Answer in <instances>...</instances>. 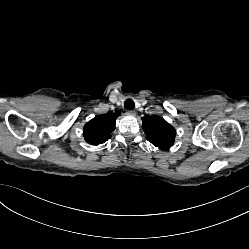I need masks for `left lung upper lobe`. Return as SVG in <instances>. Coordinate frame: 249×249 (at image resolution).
Segmentation results:
<instances>
[{
  "mask_svg": "<svg viewBox=\"0 0 249 249\" xmlns=\"http://www.w3.org/2000/svg\"><path fill=\"white\" fill-rule=\"evenodd\" d=\"M146 139L161 150H168L174 143L176 130L158 115L142 118Z\"/></svg>",
  "mask_w": 249,
  "mask_h": 249,
  "instance_id": "left-lung-upper-lobe-1",
  "label": "left lung upper lobe"
}]
</instances>
